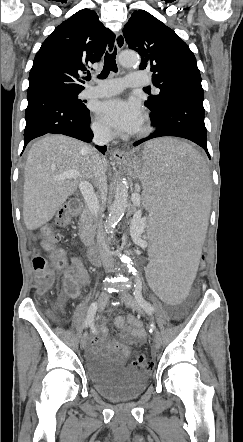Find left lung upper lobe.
I'll use <instances>...</instances> for the list:
<instances>
[{
  "label": "left lung upper lobe",
  "mask_w": 243,
  "mask_h": 442,
  "mask_svg": "<svg viewBox=\"0 0 243 442\" xmlns=\"http://www.w3.org/2000/svg\"><path fill=\"white\" fill-rule=\"evenodd\" d=\"M129 48L141 56L139 69L153 73V84L160 89L150 95L145 106L152 115L159 114L166 99L184 87L201 88V76L196 58L188 45L150 13L134 11L123 29Z\"/></svg>",
  "instance_id": "5c2ea615"
}]
</instances>
